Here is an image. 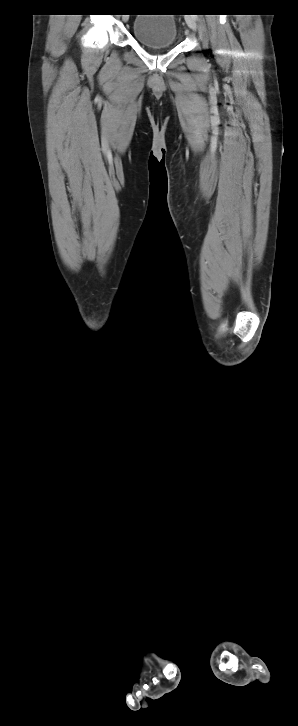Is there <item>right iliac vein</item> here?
I'll use <instances>...</instances> for the list:
<instances>
[{
	"mask_svg": "<svg viewBox=\"0 0 298 726\" xmlns=\"http://www.w3.org/2000/svg\"><path fill=\"white\" fill-rule=\"evenodd\" d=\"M123 20H124V21L126 22V21L128 20V17H127V16H125V17L123 18Z\"/></svg>",
	"mask_w": 298,
	"mask_h": 726,
	"instance_id": "obj_1",
	"label": "right iliac vein"
}]
</instances>
